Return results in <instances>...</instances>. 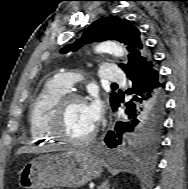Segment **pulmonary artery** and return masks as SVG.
<instances>
[{
  "instance_id": "obj_1",
  "label": "pulmonary artery",
  "mask_w": 188,
  "mask_h": 189,
  "mask_svg": "<svg viewBox=\"0 0 188 189\" xmlns=\"http://www.w3.org/2000/svg\"><path fill=\"white\" fill-rule=\"evenodd\" d=\"M98 74L101 80L107 82H122L125 80L124 73L114 64L103 65ZM56 80L66 88H70L77 81V75L72 72H63L56 76Z\"/></svg>"
}]
</instances>
